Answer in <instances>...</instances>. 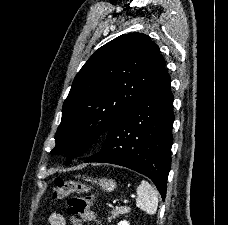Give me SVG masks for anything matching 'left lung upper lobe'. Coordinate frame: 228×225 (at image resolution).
I'll return each mask as SVG.
<instances>
[{"label": "left lung upper lobe", "mask_w": 228, "mask_h": 225, "mask_svg": "<svg viewBox=\"0 0 228 225\" xmlns=\"http://www.w3.org/2000/svg\"><path fill=\"white\" fill-rule=\"evenodd\" d=\"M164 68L159 47L142 33L120 35L99 48L73 81L51 153L82 155L143 96Z\"/></svg>", "instance_id": "obj_1"}]
</instances>
